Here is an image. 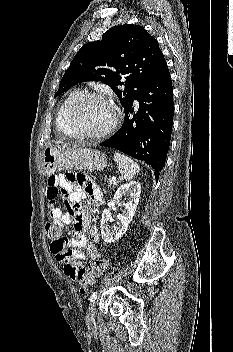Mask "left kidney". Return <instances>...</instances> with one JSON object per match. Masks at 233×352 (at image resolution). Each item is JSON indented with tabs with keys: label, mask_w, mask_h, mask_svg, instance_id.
I'll use <instances>...</instances> for the list:
<instances>
[{
	"label": "left kidney",
	"mask_w": 233,
	"mask_h": 352,
	"mask_svg": "<svg viewBox=\"0 0 233 352\" xmlns=\"http://www.w3.org/2000/svg\"><path fill=\"white\" fill-rule=\"evenodd\" d=\"M141 193V185L139 182L132 181L121 185L114 194V200L102 213L101 219V235L106 243H113L121 238L128 229L129 223L135 214L139 197ZM123 196L127 197V202L123 203V212L118 216L119 221L113 228L110 227L111 220L110 209L115 206V202L119 201Z\"/></svg>",
	"instance_id": "obj_1"
}]
</instances>
